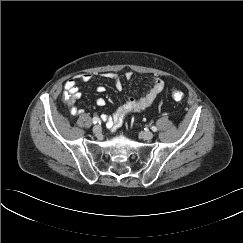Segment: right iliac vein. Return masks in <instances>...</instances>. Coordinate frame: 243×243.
Segmentation results:
<instances>
[{
    "label": "right iliac vein",
    "mask_w": 243,
    "mask_h": 243,
    "mask_svg": "<svg viewBox=\"0 0 243 243\" xmlns=\"http://www.w3.org/2000/svg\"><path fill=\"white\" fill-rule=\"evenodd\" d=\"M102 132V127L100 125H96L93 127V133L95 135H100Z\"/></svg>",
    "instance_id": "obj_1"
}]
</instances>
